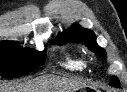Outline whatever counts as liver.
I'll return each mask as SVG.
<instances>
[{
    "mask_svg": "<svg viewBox=\"0 0 127 92\" xmlns=\"http://www.w3.org/2000/svg\"><path fill=\"white\" fill-rule=\"evenodd\" d=\"M84 85L78 79L48 75L20 84L8 92H75Z\"/></svg>",
    "mask_w": 127,
    "mask_h": 92,
    "instance_id": "1",
    "label": "liver"
}]
</instances>
